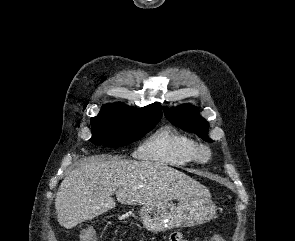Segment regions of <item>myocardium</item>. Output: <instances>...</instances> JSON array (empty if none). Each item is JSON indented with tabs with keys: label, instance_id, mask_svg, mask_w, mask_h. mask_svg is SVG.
Instances as JSON below:
<instances>
[{
	"label": "myocardium",
	"instance_id": "obj_1",
	"mask_svg": "<svg viewBox=\"0 0 295 241\" xmlns=\"http://www.w3.org/2000/svg\"><path fill=\"white\" fill-rule=\"evenodd\" d=\"M196 160L200 163H207L212 156V152L208 146L199 145L196 149Z\"/></svg>",
	"mask_w": 295,
	"mask_h": 241
}]
</instances>
